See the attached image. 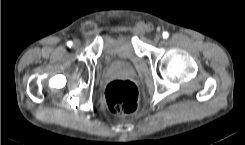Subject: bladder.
I'll return each instance as SVG.
<instances>
[{
  "mask_svg": "<svg viewBox=\"0 0 245 145\" xmlns=\"http://www.w3.org/2000/svg\"><path fill=\"white\" fill-rule=\"evenodd\" d=\"M102 58L106 63L121 62L132 66L140 59L132 38L126 34L108 39Z\"/></svg>",
  "mask_w": 245,
  "mask_h": 145,
  "instance_id": "bladder-1",
  "label": "bladder"
}]
</instances>
